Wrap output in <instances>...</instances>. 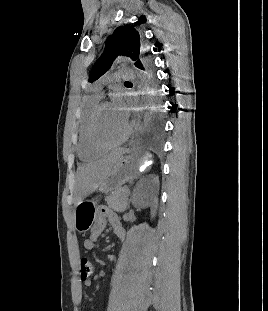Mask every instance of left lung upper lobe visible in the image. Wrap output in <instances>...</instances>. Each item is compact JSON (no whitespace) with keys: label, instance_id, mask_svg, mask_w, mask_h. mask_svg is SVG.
Masks as SVG:
<instances>
[{"label":"left lung upper lobe","instance_id":"5c2ea615","mask_svg":"<svg viewBox=\"0 0 268 311\" xmlns=\"http://www.w3.org/2000/svg\"><path fill=\"white\" fill-rule=\"evenodd\" d=\"M140 48V34L134 27L129 25L118 27L108 37L103 54L92 67L89 82L96 81L106 73L118 55L130 57L134 61V65L138 67L143 58Z\"/></svg>","mask_w":268,"mask_h":311}]
</instances>
